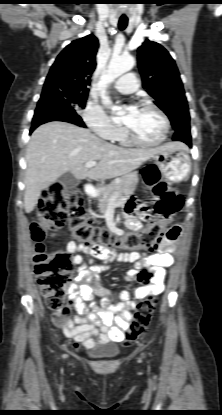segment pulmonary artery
I'll return each instance as SVG.
<instances>
[{
    "label": "pulmonary artery",
    "instance_id": "e3ab8cb5",
    "mask_svg": "<svg viewBox=\"0 0 222 415\" xmlns=\"http://www.w3.org/2000/svg\"><path fill=\"white\" fill-rule=\"evenodd\" d=\"M114 87L122 93L129 94L138 88V80L134 74L128 73L119 77L115 81Z\"/></svg>",
    "mask_w": 222,
    "mask_h": 415
}]
</instances>
